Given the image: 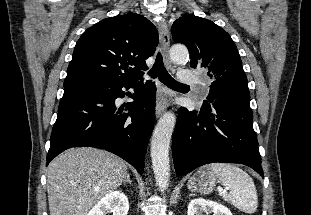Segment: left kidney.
I'll return each mask as SVG.
<instances>
[{"label":"left kidney","instance_id":"1","mask_svg":"<svg viewBox=\"0 0 311 215\" xmlns=\"http://www.w3.org/2000/svg\"><path fill=\"white\" fill-rule=\"evenodd\" d=\"M207 215L213 213V215H233L231 211L217 202L197 198L192 200L188 205L187 215Z\"/></svg>","mask_w":311,"mask_h":215}]
</instances>
